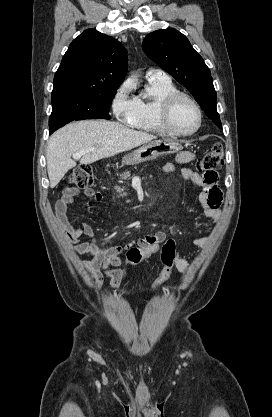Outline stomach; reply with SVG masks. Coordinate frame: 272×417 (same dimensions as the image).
Listing matches in <instances>:
<instances>
[{
  "label": "stomach",
  "mask_w": 272,
  "mask_h": 417,
  "mask_svg": "<svg viewBox=\"0 0 272 417\" xmlns=\"http://www.w3.org/2000/svg\"><path fill=\"white\" fill-rule=\"evenodd\" d=\"M181 148L182 146L178 143L155 139L144 143L135 151L125 155L122 158V163L124 165H134L154 160L167 154L175 153Z\"/></svg>",
  "instance_id": "obj_1"
}]
</instances>
